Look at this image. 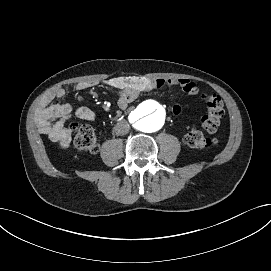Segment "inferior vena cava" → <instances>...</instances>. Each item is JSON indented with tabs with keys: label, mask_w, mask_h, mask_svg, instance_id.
Instances as JSON below:
<instances>
[{
	"label": "inferior vena cava",
	"mask_w": 271,
	"mask_h": 271,
	"mask_svg": "<svg viewBox=\"0 0 271 271\" xmlns=\"http://www.w3.org/2000/svg\"><path fill=\"white\" fill-rule=\"evenodd\" d=\"M116 135H125L129 132V125L126 121L118 122L113 128Z\"/></svg>",
	"instance_id": "obj_1"
}]
</instances>
